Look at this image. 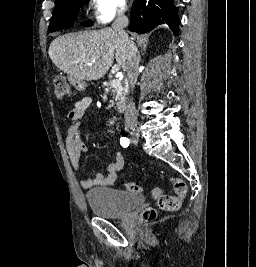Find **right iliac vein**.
Masks as SVG:
<instances>
[{"instance_id": "right-iliac-vein-1", "label": "right iliac vein", "mask_w": 256, "mask_h": 267, "mask_svg": "<svg viewBox=\"0 0 256 267\" xmlns=\"http://www.w3.org/2000/svg\"><path fill=\"white\" fill-rule=\"evenodd\" d=\"M132 139H134V141L138 140V134L136 132L133 133Z\"/></svg>"}]
</instances>
